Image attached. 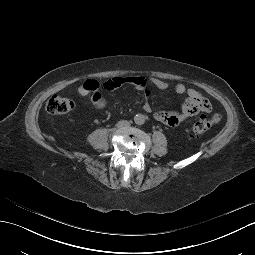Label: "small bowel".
<instances>
[{
  "label": "small bowel",
  "instance_id": "small-bowel-1",
  "mask_svg": "<svg viewBox=\"0 0 255 255\" xmlns=\"http://www.w3.org/2000/svg\"><path fill=\"white\" fill-rule=\"evenodd\" d=\"M133 86L137 90L145 93L142 109L147 113H152V107L147 102L151 89L166 90L169 83L155 77L145 78L143 76H118L110 78L101 83L94 79L84 81L79 87L78 92L81 96L90 97L92 103L98 109H104L107 105L106 100L101 96V90H115L123 86ZM175 92L184 95L185 100L180 112L157 111L153 113L155 120L169 127H176L186 119L196 116L200 112L208 113L212 106L208 99L203 97L198 91L186 87L183 83L175 86Z\"/></svg>",
  "mask_w": 255,
  "mask_h": 255
}]
</instances>
